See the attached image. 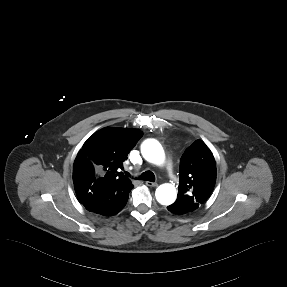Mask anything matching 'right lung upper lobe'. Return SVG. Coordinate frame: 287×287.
<instances>
[{
	"mask_svg": "<svg viewBox=\"0 0 287 287\" xmlns=\"http://www.w3.org/2000/svg\"><path fill=\"white\" fill-rule=\"evenodd\" d=\"M141 137L142 132L137 129L105 127L87 139L73 166V183L80 203L92 186L116 183L133 186L121 170Z\"/></svg>",
	"mask_w": 287,
	"mask_h": 287,
	"instance_id": "obj_1",
	"label": "right lung upper lobe"
}]
</instances>
